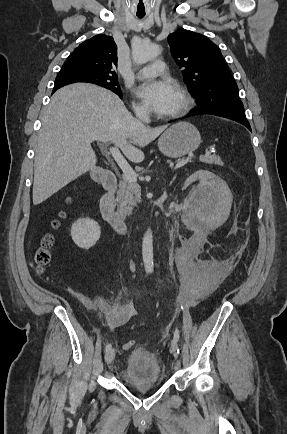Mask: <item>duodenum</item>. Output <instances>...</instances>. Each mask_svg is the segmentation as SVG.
Instances as JSON below:
<instances>
[{"label": "duodenum", "mask_w": 287, "mask_h": 434, "mask_svg": "<svg viewBox=\"0 0 287 434\" xmlns=\"http://www.w3.org/2000/svg\"><path fill=\"white\" fill-rule=\"evenodd\" d=\"M94 177L100 181L106 189L100 202V212L103 219L120 235L127 233V223L118 216L114 210V201L117 194V176L114 172L106 170L93 172Z\"/></svg>", "instance_id": "obj_1"}]
</instances>
